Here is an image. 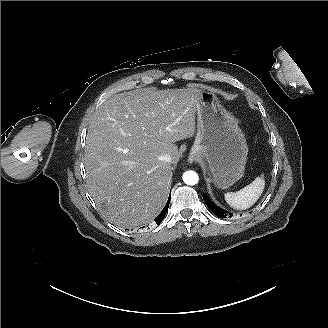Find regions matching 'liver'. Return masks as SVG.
<instances>
[{"mask_svg": "<svg viewBox=\"0 0 328 328\" xmlns=\"http://www.w3.org/2000/svg\"><path fill=\"white\" fill-rule=\"evenodd\" d=\"M197 88L116 94L90 120L84 166L103 217L123 228L150 221L162 207L179 161L176 142L195 137ZM169 154L171 161L159 160Z\"/></svg>", "mask_w": 328, "mask_h": 328, "instance_id": "1", "label": "liver"}]
</instances>
